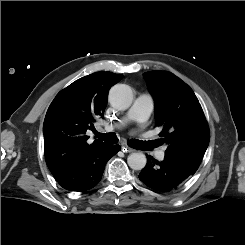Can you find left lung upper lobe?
Instances as JSON below:
<instances>
[{"mask_svg":"<svg viewBox=\"0 0 245 245\" xmlns=\"http://www.w3.org/2000/svg\"><path fill=\"white\" fill-rule=\"evenodd\" d=\"M149 90L156 98V125L163 130L161 141L170 153L201 163L209 144V127L193 90L170 72L144 73Z\"/></svg>","mask_w":245,"mask_h":245,"instance_id":"obj_1","label":"left lung upper lobe"}]
</instances>
